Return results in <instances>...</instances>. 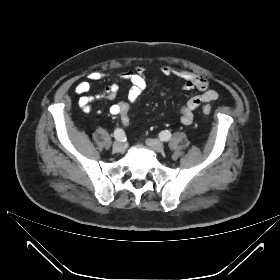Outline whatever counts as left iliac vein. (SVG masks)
I'll use <instances>...</instances> for the list:
<instances>
[{
    "instance_id": "obj_1",
    "label": "left iliac vein",
    "mask_w": 280,
    "mask_h": 280,
    "mask_svg": "<svg viewBox=\"0 0 280 280\" xmlns=\"http://www.w3.org/2000/svg\"><path fill=\"white\" fill-rule=\"evenodd\" d=\"M146 144L153 149L155 152H163L164 151V145L161 141L157 139H146Z\"/></svg>"
}]
</instances>
